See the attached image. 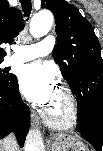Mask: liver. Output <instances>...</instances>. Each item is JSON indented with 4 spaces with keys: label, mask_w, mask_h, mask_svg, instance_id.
Instances as JSON below:
<instances>
[{
    "label": "liver",
    "mask_w": 103,
    "mask_h": 151,
    "mask_svg": "<svg viewBox=\"0 0 103 151\" xmlns=\"http://www.w3.org/2000/svg\"><path fill=\"white\" fill-rule=\"evenodd\" d=\"M1 149H4L3 147L1 148ZM10 151H18V146H17V143L16 144H14V145H12V146H10Z\"/></svg>",
    "instance_id": "6515ba94"
}]
</instances>
